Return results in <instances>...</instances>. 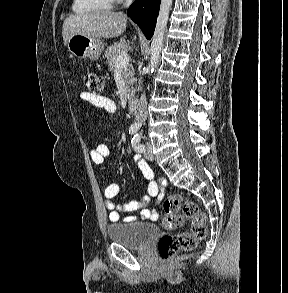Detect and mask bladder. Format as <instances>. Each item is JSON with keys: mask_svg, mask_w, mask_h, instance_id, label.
<instances>
[{"mask_svg": "<svg viewBox=\"0 0 288 293\" xmlns=\"http://www.w3.org/2000/svg\"><path fill=\"white\" fill-rule=\"evenodd\" d=\"M109 239L129 249L145 247L157 234L158 228L151 223H115L107 226Z\"/></svg>", "mask_w": 288, "mask_h": 293, "instance_id": "31cf9c89", "label": "bladder"}]
</instances>
